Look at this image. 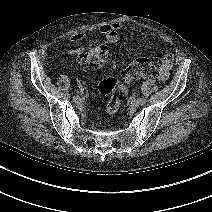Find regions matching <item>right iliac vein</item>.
<instances>
[{
    "mask_svg": "<svg viewBox=\"0 0 212 212\" xmlns=\"http://www.w3.org/2000/svg\"><path fill=\"white\" fill-rule=\"evenodd\" d=\"M79 96L78 95H75V96H73V101H75V102H78L79 101Z\"/></svg>",
    "mask_w": 212,
    "mask_h": 212,
    "instance_id": "1",
    "label": "right iliac vein"
}]
</instances>
